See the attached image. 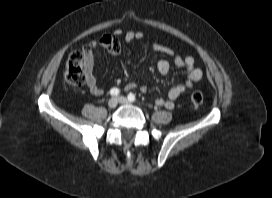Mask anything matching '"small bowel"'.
<instances>
[{
    "mask_svg": "<svg viewBox=\"0 0 272 198\" xmlns=\"http://www.w3.org/2000/svg\"><path fill=\"white\" fill-rule=\"evenodd\" d=\"M123 37L126 42H131L136 39L144 37L142 31H128L124 32L122 29L117 28L110 34H104L98 39L87 42L83 46V55L85 62L86 82L89 91L95 95L100 96L103 94V89L98 85L97 79L94 75V50L96 47L106 49L112 55H118L121 52V43L118 38ZM153 48L159 52L173 57L174 65L186 70L187 78L173 86L167 95V98H158L156 104L167 109H173L175 101L188 89L193 87V84L203 77V72L200 68L195 67V60L191 56L183 57L176 54L171 48L161 45H153ZM157 70L159 73L165 75L170 70V63L166 59H161L157 62ZM126 90L139 89L142 93L147 92L146 85H139L135 82H130L125 86Z\"/></svg>",
    "mask_w": 272,
    "mask_h": 198,
    "instance_id": "obj_1",
    "label": "small bowel"
}]
</instances>
